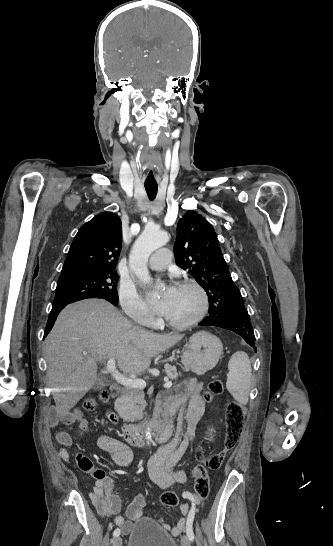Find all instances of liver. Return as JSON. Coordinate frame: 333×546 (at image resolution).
<instances>
[{"instance_id": "liver-1", "label": "liver", "mask_w": 333, "mask_h": 546, "mask_svg": "<svg viewBox=\"0 0 333 546\" xmlns=\"http://www.w3.org/2000/svg\"><path fill=\"white\" fill-rule=\"evenodd\" d=\"M183 337L139 329L102 299L69 304L45 340L47 377L57 413L67 415L93 387L97 362L115 358L123 372L140 374L149 368L153 357Z\"/></svg>"}]
</instances>
